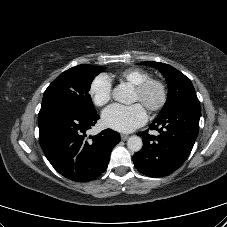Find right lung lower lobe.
<instances>
[{
	"label": "right lung lower lobe",
	"instance_id": "1",
	"mask_svg": "<svg viewBox=\"0 0 227 227\" xmlns=\"http://www.w3.org/2000/svg\"><path fill=\"white\" fill-rule=\"evenodd\" d=\"M99 119L67 106L41 109L38 115L39 142L48 161L64 177L87 182L97 178L108 166L120 135L106 129L95 136L86 131Z\"/></svg>",
	"mask_w": 227,
	"mask_h": 227
}]
</instances>
